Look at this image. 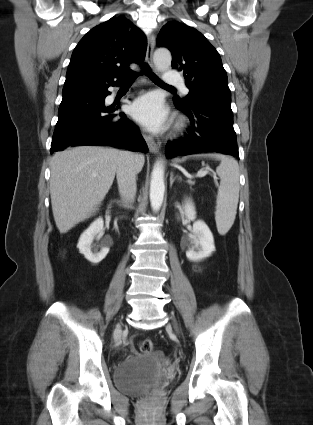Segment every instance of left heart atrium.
<instances>
[{
  "label": "left heart atrium",
  "instance_id": "39dd6f15",
  "mask_svg": "<svg viewBox=\"0 0 313 425\" xmlns=\"http://www.w3.org/2000/svg\"><path fill=\"white\" fill-rule=\"evenodd\" d=\"M131 115L148 129L162 128L167 121V111L161 98L153 93L138 98L131 106Z\"/></svg>",
  "mask_w": 313,
  "mask_h": 425
}]
</instances>
